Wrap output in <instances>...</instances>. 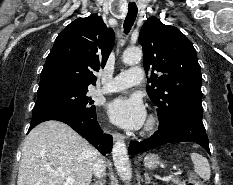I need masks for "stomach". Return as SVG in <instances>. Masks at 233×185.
I'll list each match as a JSON object with an SVG mask.
<instances>
[{
    "label": "stomach",
    "mask_w": 233,
    "mask_h": 185,
    "mask_svg": "<svg viewBox=\"0 0 233 185\" xmlns=\"http://www.w3.org/2000/svg\"><path fill=\"white\" fill-rule=\"evenodd\" d=\"M144 165L148 169H154L161 165L160 159L156 154H148L144 158Z\"/></svg>",
    "instance_id": "stomach-1"
}]
</instances>
